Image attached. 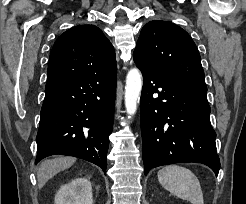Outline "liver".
I'll return each mask as SVG.
<instances>
[{
    "instance_id": "obj_1",
    "label": "liver",
    "mask_w": 246,
    "mask_h": 204,
    "mask_svg": "<svg viewBox=\"0 0 246 204\" xmlns=\"http://www.w3.org/2000/svg\"><path fill=\"white\" fill-rule=\"evenodd\" d=\"M76 161L74 157H56L43 161L37 172L38 187L41 189L45 183L58 172L72 166Z\"/></svg>"
}]
</instances>
